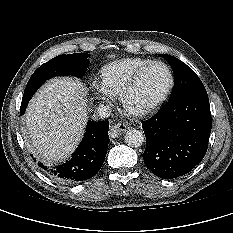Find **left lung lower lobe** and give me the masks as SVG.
<instances>
[{
  "instance_id": "left-lung-lower-lobe-1",
  "label": "left lung lower lobe",
  "mask_w": 233,
  "mask_h": 233,
  "mask_svg": "<svg viewBox=\"0 0 233 233\" xmlns=\"http://www.w3.org/2000/svg\"><path fill=\"white\" fill-rule=\"evenodd\" d=\"M211 124L207 94L169 99L142 124L147 142L142 155L145 165L163 179L188 173L206 154Z\"/></svg>"
}]
</instances>
